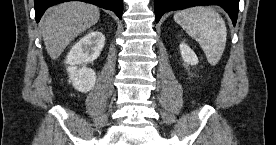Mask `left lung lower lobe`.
I'll list each match as a JSON object with an SVG mask.
<instances>
[{"instance_id":"0a47b994","label":"left lung lower lobe","mask_w":276,"mask_h":145,"mask_svg":"<svg viewBox=\"0 0 276 145\" xmlns=\"http://www.w3.org/2000/svg\"><path fill=\"white\" fill-rule=\"evenodd\" d=\"M199 5L221 6L229 14L233 25L236 24L239 10V0H155L154 8L156 22H158L161 16L166 12Z\"/></svg>"}]
</instances>
